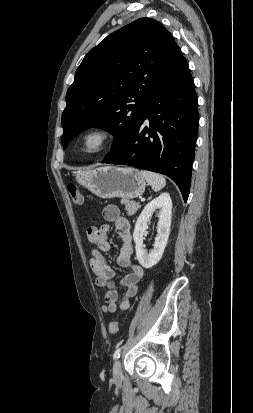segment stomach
I'll use <instances>...</instances> for the list:
<instances>
[{
    "mask_svg": "<svg viewBox=\"0 0 253 413\" xmlns=\"http://www.w3.org/2000/svg\"><path fill=\"white\" fill-rule=\"evenodd\" d=\"M76 181L103 199L129 200L142 195L146 187L144 177L132 167L104 166L77 172Z\"/></svg>",
    "mask_w": 253,
    "mask_h": 413,
    "instance_id": "obj_1",
    "label": "stomach"
}]
</instances>
